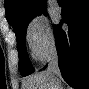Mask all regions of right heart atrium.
Instances as JSON below:
<instances>
[{
    "instance_id": "1",
    "label": "right heart atrium",
    "mask_w": 89,
    "mask_h": 89,
    "mask_svg": "<svg viewBox=\"0 0 89 89\" xmlns=\"http://www.w3.org/2000/svg\"><path fill=\"white\" fill-rule=\"evenodd\" d=\"M26 39L32 55L38 61H46L55 51V37L48 19L38 15L29 23Z\"/></svg>"
}]
</instances>
